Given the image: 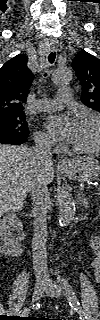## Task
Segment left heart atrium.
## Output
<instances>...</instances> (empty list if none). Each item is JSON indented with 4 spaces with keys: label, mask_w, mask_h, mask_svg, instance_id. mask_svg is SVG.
<instances>
[{
    "label": "left heart atrium",
    "mask_w": 100,
    "mask_h": 320,
    "mask_svg": "<svg viewBox=\"0 0 100 320\" xmlns=\"http://www.w3.org/2000/svg\"><path fill=\"white\" fill-rule=\"evenodd\" d=\"M45 126L57 139L72 142L76 135L78 122L66 115H55L47 118Z\"/></svg>",
    "instance_id": "left-heart-atrium-1"
}]
</instances>
